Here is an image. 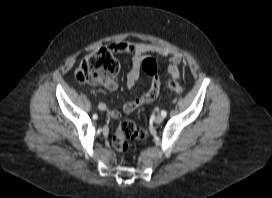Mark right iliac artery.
<instances>
[{"label":"right iliac artery","instance_id":"obj_1","mask_svg":"<svg viewBox=\"0 0 272 198\" xmlns=\"http://www.w3.org/2000/svg\"><path fill=\"white\" fill-rule=\"evenodd\" d=\"M102 105H103V104H100L99 107L102 106ZM97 117H98V116H97L96 114L93 115V118H94V119H97Z\"/></svg>","mask_w":272,"mask_h":198}]
</instances>
